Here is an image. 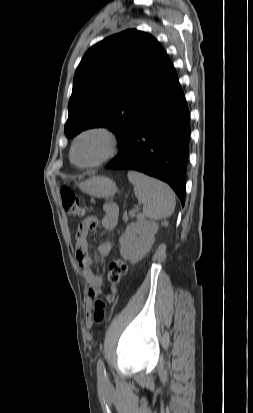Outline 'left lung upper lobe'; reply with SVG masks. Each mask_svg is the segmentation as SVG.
Instances as JSON below:
<instances>
[{"label":"left lung upper lobe","mask_w":253,"mask_h":413,"mask_svg":"<svg viewBox=\"0 0 253 413\" xmlns=\"http://www.w3.org/2000/svg\"><path fill=\"white\" fill-rule=\"evenodd\" d=\"M170 64L161 44L135 29L92 46L74 75L65 135L108 127L116 134L120 149L130 121Z\"/></svg>","instance_id":"left-lung-upper-lobe-1"}]
</instances>
